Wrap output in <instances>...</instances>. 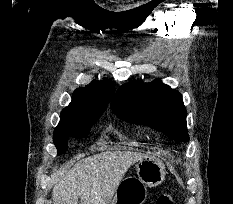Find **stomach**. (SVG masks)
<instances>
[{
	"label": "stomach",
	"instance_id": "1",
	"mask_svg": "<svg viewBox=\"0 0 233 204\" xmlns=\"http://www.w3.org/2000/svg\"><path fill=\"white\" fill-rule=\"evenodd\" d=\"M135 167L138 178L121 181L109 204H143L147 196L146 187L158 186L165 179V166L155 157L145 156Z\"/></svg>",
	"mask_w": 233,
	"mask_h": 204
}]
</instances>
